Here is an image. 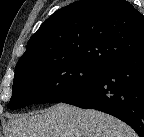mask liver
Here are the masks:
<instances>
[{"label":"liver","instance_id":"6515ba94","mask_svg":"<svg viewBox=\"0 0 144 137\" xmlns=\"http://www.w3.org/2000/svg\"><path fill=\"white\" fill-rule=\"evenodd\" d=\"M7 137H137V134L109 114L58 103L40 113L11 116Z\"/></svg>","mask_w":144,"mask_h":137}]
</instances>
